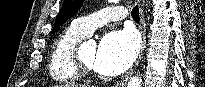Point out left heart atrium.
Segmentation results:
<instances>
[{"mask_svg":"<svg viewBox=\"0 0 205 87\" xmlns=\"http://www.w3.org/2000/svg\"><path fill=\"white\" fill-rule=\"evenodd\" d=\"M138 47V39L132 31L108 32L100 41L93 68L106 76L118 75L133 63Z\"/></svg>","mask_w":205,"mask_h":87,"instance_id":"39dd6f15","label":"left heart atrium"}]
</instances>
